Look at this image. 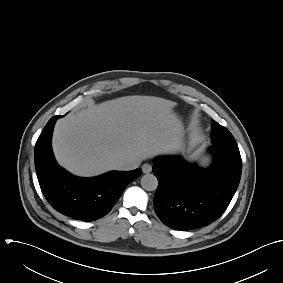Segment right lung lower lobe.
I'll return each instance as SVG.
<instances>
[{
	"label": "right lung lower lobe",
	"instance_id": "right-lung-lower-lobe-1",
	"mask_svg": "<svg viewBox=\"0 0 283 283\" xmlns=\"http://www.w3.org/2000/svg\"><path fill=\"white\" fill-rule=\"evenodd\" d=\"M60 116L52 117L35 145V168L41 190L58 212L82 221L106 215L126 186L141 175V169L111 171L94 178L69 174L55 161L51 147L53 127Z\"/></svg>",
	"mask_w": 283,
	"mask_h": 283
}]
</instances>
